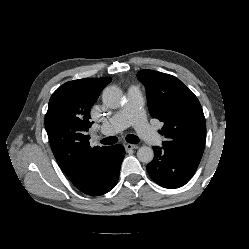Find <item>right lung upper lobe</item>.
I'll use <instances>...</instances> for the list:
<instances>
[{
	"mask_svg": "<svg viewBox=\"0 0 249 249\" xmlns=\"http://www.w3.org/2000/svg\"><path fill=\"white\" fill-rule=\"evenodd\" d=\"M112 78H84L60 86L49 100L45 128L60 168L81 187L87 174L108 156L109 147H91L86 134L93 124L90 109Z\"/></svg>",
	"mask_w": 249,
	"mask_h": 249,
	"instance_id": "obj_1",
	"label": "right lung upper lobe"
}]
</instances>
